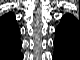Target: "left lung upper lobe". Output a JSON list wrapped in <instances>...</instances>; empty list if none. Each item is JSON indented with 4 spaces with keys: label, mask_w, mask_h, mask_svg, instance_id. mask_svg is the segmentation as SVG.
<instances>
[{
    "label": "left lung upper lobe",
    "mask_w": 80,
    "mask_h": 60,
    "mask_svg": "<svg viewBox=\"0 0 80 60\" xmlns=\"http://www.w3.org/2000/svg\"><path fill=\"white\" fill-rule=\"evenodd\" d=\"M67 29H68V27H64V29H62L61 27H59L58 29H57V34L58 33H64V35L66 36V40H68V33H67Z\"/></svg>",
    "instance_id": "1"
}]
</instances>
